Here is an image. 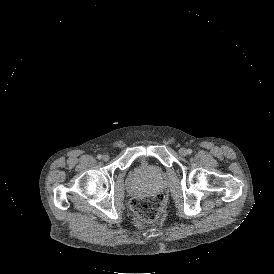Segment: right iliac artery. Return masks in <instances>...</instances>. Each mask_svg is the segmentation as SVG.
<instances>
[{"label":"right iliac artery","instance_id":"1","mask_svg":"<svg viewBox=\"0 0 274 274\" xmlns=\"http://www.w3.org/2000/svg\"><path fill=\"white\" fill-rule=\"evenodd\" d=\"M97 158L100 160V159H102V155H97Z\"/></svg>","mask_w":274,"mask_h":274}]
</instances>
